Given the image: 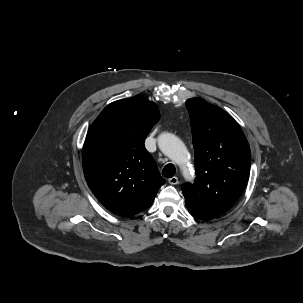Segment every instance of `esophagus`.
Wrapping results in <instances>:
<instances>
[{"mask_svg": "<svg viewBox=\"0 0 303 303\" xmlns=\"http://www.w3.org/2000/svg\"><path fill=\"white\" fill-rule=\"evenodd\" d=\"M168 182L171 184V185H176L179 183V180H178V177L174 176V177H171L168 179Z\"/></svg>", "mask_w": 303, "mask_h": 303, "instance_id": "34e87169", "label": "esophagus"}]
</instances>
